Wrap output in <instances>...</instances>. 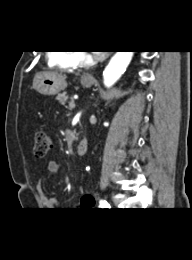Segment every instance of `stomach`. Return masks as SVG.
Here are the masks:
<instances>
[{
    "mask_svg": "<svg viewBox=\"0 0 192 260\" xmlns=\"http://www.w3.org/2000/svg\"><path fill=\"white\" fill-rule=\"evenodd\" d=\"M82 85L89 88L93 85L94 81H81ZM67 86L66 77L59 73L43 72L35 76L33 81L34 89L46 96H53L60 93Z\"/></svg>",
    "mask_w": 192,
    "mask_h": 260,
    "instance_id": "stomach-1",
    "label": "stomach"
}]
</instances>
